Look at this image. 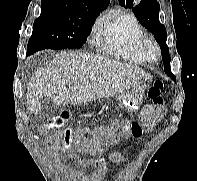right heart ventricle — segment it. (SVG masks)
I'll list each match as a JSON object with an SVG mask.
<instances>
[{"instance_id":"right-heart-ventricle-1","label":"right heart ventricle","mask_w":197,"mask_h":181,"mask_svg":"<svg viewBox=\"0 0 197 181\" xmlns=\"http://www.w3.org/2000/svg\"><path fill=\"white\" fill-rule=\"evenodd\" d=\"M145 36V30L137 17L126 11H120L103 18L96 29L94 48L110 57L135 64H144L139 44Z\"/></svg>"}]
</instances>
